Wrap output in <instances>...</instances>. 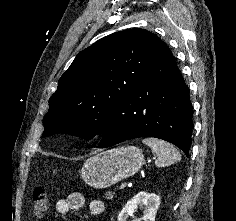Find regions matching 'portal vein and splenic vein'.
<instances>
[{
  "label": "portal vein and splenic vein",
  "instance_id": "1",
  "mask_svg": "<svg viewBox=\"0 0 236 221\" xmlns=\"http://www.w3.org/2000/svg\"><path fill=\"white\" fill-rule=\"evenodd\" d=\"M126 186H127V183H126V182H123V183H121L119 189H120V190H123Z\"/></svg>",
  "mask_w": 236,
  "mask_h": 221
}]
</instances>
